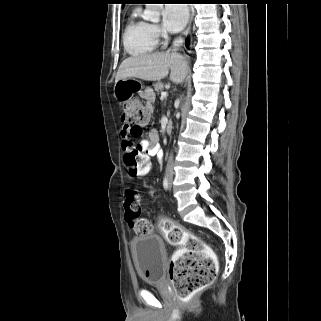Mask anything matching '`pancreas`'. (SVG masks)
<instances>
[{
  "label": "pancreas",
  "mask_w": 321,
  "mask_h": 321,
  "mask_svg": "<svg viewBox=\"0 0 321 321\" xmlns=\"http://www.w3.org/2000/svg\"><path fill=\"white\" fill-rule=\"evenodd\" d=\"M153 86L157 93L162 92L164 89V84L162 82H157Z\"/></svg>",
  "instance_id": "obj_1"
}]
</instances>
